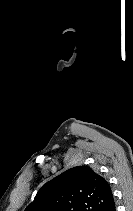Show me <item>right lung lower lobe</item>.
Wrapping results in <instances>:
<instances>
[{"label": "right lung lower lobe", "instance_id": "1", "mask_svg": "<svg viewBox=\"0 0 133 211\" xmlns=\"http://www.w3.org/2000/svg\"><path fill=\"white\" fill-rule=\"evenodd\" d=\"M112 211H116V210H115V208H114V209H112Z\"/></svg>", "mask_w": 133, "mask_h": 211}]
</instances>
